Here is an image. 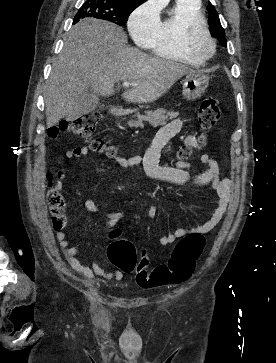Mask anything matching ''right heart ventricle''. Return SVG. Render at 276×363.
I'll use <instances>...</instances> for the list:
<instances>
[{"label":"right heart ventricle","instance_id":"right-heart-ventricle-1","mask_svg":"<svg viewBox=\"0 0 276 363\" xmlns=\"http://www.w3.org/2000/svg\"><path fill=\"white\" fill-rule=\"evenodd\" d=\"M205 24L199 0H176L170 14L160 24L153 39L146 45L154 55L169 60L201 66L184 49V31L188 24Z\"/></svg>","mask_w":276,"mask_h":363}]
</instances>
